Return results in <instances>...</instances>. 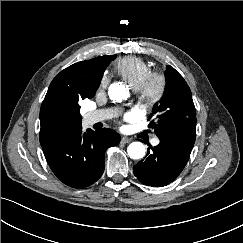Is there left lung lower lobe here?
Masks as SVG:
<instances>
[{"label":"left lung lower lobe","mask_w":243,"mask_h":243,"mask_svg":"<svg viewBox=\"0 0 243 243\" xmlns=\"http://www.w3.org/2000/svg\"><path fill=\"white\" fill-rule=\"evenodd\" d=\"M190 149L170 140L150 146L146 157L133 167L137 179L148 186L162 187L173 182L186 166Z\"/></svg>","instance_id":"left-lung-lower-lobe-1"}]
</instances>
